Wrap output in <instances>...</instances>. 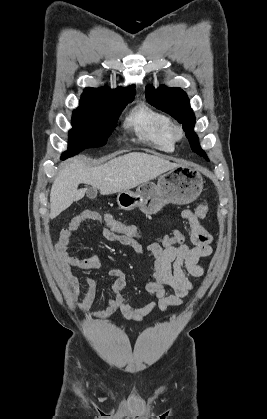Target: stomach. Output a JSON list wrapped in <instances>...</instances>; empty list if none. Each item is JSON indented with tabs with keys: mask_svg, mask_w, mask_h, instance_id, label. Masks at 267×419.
I'll use <instances>...</instances> for the list:
<instances>
[{
	"mask_svg": "<svg viewBox=\"0 0 267 419\" xmlns=\"http://www.w3.org/2000/svg\"><path fill=\"white\" fill-rule=\"evenodd\" d=\"M202 189L203 178L199 170L184 164L162 174L157 184L147 181L140 184L136 192H119L117 203L123 210L138 207L143 213L152 215L169 203L184 205L193 202Z\"/></svg>",
	"mask_w": 267,
	"mask_h": 419,
	"instance_id": "stomach-1",
	"label": "stomach"
}]
</instances>
